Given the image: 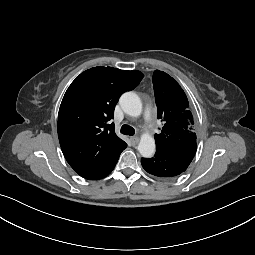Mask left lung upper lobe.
Wrapping results in <instances>:
<instances>
[{"label":"left lung upper lobe","instance_id":"5c2ea615","mask_svg":"<svg viewBox=\"0 0 255 255\" xmlns=\"http://www.w3.org/2000/svg\"><path fill=\"white\" fill-rule=\"evenodd\" d=\"M153 86L158 119L163 121L160 134H155L156 149L196 146L194 120L186 94L165 72L156 70Z\"/></svg>","mask_w":255,"mask_h":255}]
</instances>
